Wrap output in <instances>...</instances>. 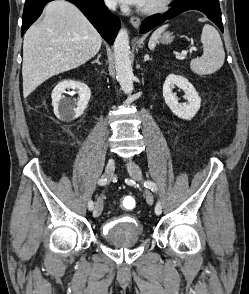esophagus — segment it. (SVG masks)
Returning <instances> with one entry per match:
<instances>
[{
	"label": "esophagus",
	"mask_w": 249,
	"mask_h": 294,
	"mask_svg": "<svg viewBox=\"0 0 249 294\" xmlns=\"http://www.w3.org/2000/svg\"><path fill=\"white\" fill-rule=\"evenodd\" d=\"M130 22H131L132 26L135 28H138L141 23L140 18H138V17H131Z\"/></svg>",
	"instance_id": "1"
}]
</instances>
